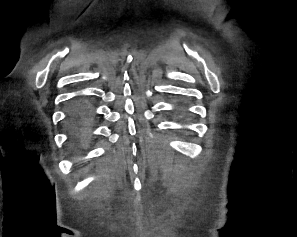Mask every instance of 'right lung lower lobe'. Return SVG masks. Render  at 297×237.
Segmentation results:
<instances>
[{"mask_svg": "<svg viewBox=\"0 0 297 237\" xmlns=\"http://www.w3.org/2000/svg\"><path fill=\"white\" fill-rule=\"evenodd\" d=\"M86 116H87V111L82 108H75L70 114V117L73 121H78Z\"/></svg>", "mask_w": 297, "mask_h": 237, "instance_id": "1", "label": "right lung lower lobe"}]
</instances>
